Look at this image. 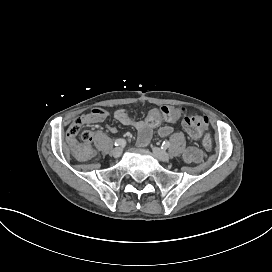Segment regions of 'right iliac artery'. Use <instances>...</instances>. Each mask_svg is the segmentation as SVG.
<instances>
[{"instance_id": "82829eb1", "label": "right iliac artery", "mask_w": 272, "mask_h": 272, "mask_svg": "<svg viewBox=\"0 0 272 272\" xmlns=\"http://www.w3.org/2000/svg\"><path fill=\"white\" fill-rule=\"evenodd\" d=\"M126 144V141L124 140V139H117V140H115V142H114V145L115 146H123V145H125Z\"/></svg>"}]
</instances>
